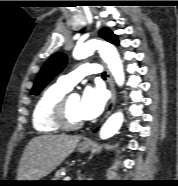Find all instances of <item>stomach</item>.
<instances>
[{"label":"stomach","instance_id":"obj_1","mask_svg":"<svg viewBox=\"0 0 178 186\" xmlns=\"http://www.w3.org/2000/svg\"><path fill=\"white\" fill-rule=\"evenodd\" d=\"M91 148V143L90 142H81L77 149L80 153H86L87 151H89ZM36 181H41V180H36ZM38 185V184H35Z\"/></svg>","mask_w":178,"mask_h":186}]
</instances>
